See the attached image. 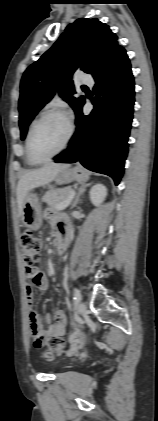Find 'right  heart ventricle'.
Wrapping results in <instances>:
<instances>
[{"mask_svg":"<svg viewBox=\"0 0 158 421\" xmlns=\"http://www.w3.org/2000/svg\"><path fill=\"white\" fill-rule=\"evenodd\" d=\"M29 132V131H28ZM28 136V135H27ZM26 161H27V164L28 165H30V166H35L36 165V163H34L31 159H30V157H29V155H28V152H27V139H26Z\"/></svg>","mask_w":158,"mask_h":421,"instance_id":"e07e8e85","label":"right heart ventricle"}]
</instances>
